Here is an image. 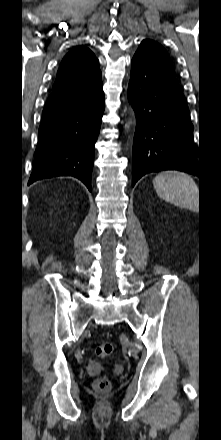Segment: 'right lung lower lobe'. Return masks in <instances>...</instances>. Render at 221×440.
Returning <instances> with one entry per match:
<instances>
[{
    "mask_svg": "<svg viewBox=\"0 0 221 440\" xmlns=\"http://www.w3.org/2000/svg\"><path fill=\"white\" fill-rule=\"evenodd\" d=\"M104 111L102 81L63 91L47 99L35 165L29 183L55 176H73L91 191L94 151Z\"/></svg>",
    "mask_w": 221,
    "mask_h": 440,
    "instance_id": "98d812e1",
    "label": "right lung lower lobe"
}]
</instances>
